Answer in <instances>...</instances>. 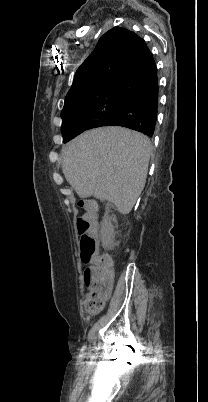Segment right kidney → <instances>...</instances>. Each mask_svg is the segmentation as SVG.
<instances>
[{
    "instance_id": "1",
    "label": "right kidney",
    "mask_w": 208,
    "mask_h": 402,
    "mask_svg": "<svg viewBox=\"0 0 208 402\" xmlns=\"http://www.w3.org/2000/svg\"><path fill=\"white\" fill-rule=\"evenodd\" d=\"M112 222V218H108V216H104L101 222V240L103 246H108L115 238V230Z\"/></svg>"
}]
</instances>
